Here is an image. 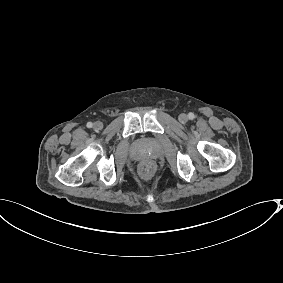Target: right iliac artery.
<instances>
[{
	"label": "right iliac artery",
	"mask_w": 283,
	"mask_h": 283,
	"mask_svg": "<svg viewBox=\"0 0 283 283\" xmlns=\"http://www.w3.org/2000/svg\"><path fill=\"white\" fill-rule=\"evenodd\" d=\"M92 126H93L92 122H88V123H87V127H88V128H91Z\"/></svg>",
	"instance_id": "right-iliac-artery-1"
}]
</instances>
